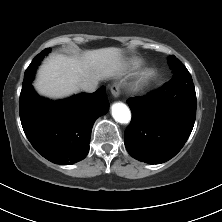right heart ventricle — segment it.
Listing matches in <instances>:
<instances>
[{"label":"right heart ventricle","instance_id":"right-heart-ventricle-1","mask_svg":"<svg viewBox=\"0 0 222 222\" xmlns=\"http://www.w3.org/2000/svg\"><path fill=\"white\" fill-rule=\"evenodd\" d=\"M142 64H143L142 60L137 59V58H133L128 62L127 68L129 70H136V69L140 68L142 66Z\"/></svg>","mask_w":222,"mask_h":222}]
</instances>
